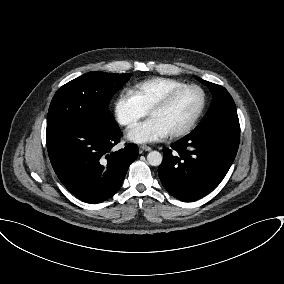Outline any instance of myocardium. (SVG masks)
Masks as SVG:
<instances>
[{"mask_svg": "<svg viewBox=\"0 0 284 284\" xmlns=\"http://www.w3.org/2000/svg\"><path fill=\"white\" fill-rule=\"evenodd\" d=\"M188 89H196L200 92L201 94V104L197 110V112L195 113V115L193 116V118L181 129L173 131L168 133V136L171 138H180L183 137L187 134H189L194 127L196 126V124L198 123V121L200 120V118L202 117L204 110L206 108V103H207V94L205 92V90L197 84H185L183 86H180L174 90H172L170 93H168L164 98H162L160 101H158L151 109H150V115L158 110L164 109L167 106H169L174 100L175 98L183 91L188 90Z\"/></svg>", "mask_w": 284, "mask_h": 284, "instance_id": "1", "label": "myocardium"}]
</instances>
